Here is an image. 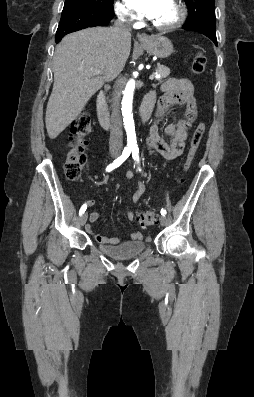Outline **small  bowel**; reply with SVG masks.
I'll list each match as a JSON object with an SVG mask.
<instances>
[{
    "mask_svg": "<svg viewBox=\"0 0 254 397\" xmlns=\"http://www.w3.org/2000/svg\"><path fill=\"white\" fill-rule=\"evenodd\" d=\"M161 91L163 94L158 101L156 118L151 125L150 133L147 138V148L150 154L156 151L164 158L165 167L167 163L182 155L188 130L197 116V106L194 97V88L191 81L188 79L170 78L161 85ZM150 94L155 101L156 93L152 91ZM173 105H184L186 110L176 123H170L165 127V133L170 137V142L168 143L159 133V122L167 110ZM134 176L133 172H128L126 178L131 180ZM144 191V183L139 182L136 191L132 195V202L138 203ZM91 204L92 203H90V205ZM125 215L129 220L135 218V214L130 209H126ZM99 218V212L94 209L90 213L89 221L95 223ZM86 231L91 234L98 243L117 244L119 242L115 237L102 236L96 233L90 224L86 226ZM130 238L133 241H139L143 238V235L140 232H135L130 235Z\"/></svg>",
    "mask_w": 254,
    "mask_h": 397,
    "instance_id": "1",
    "label": "small bowel"
}]
</instances>
